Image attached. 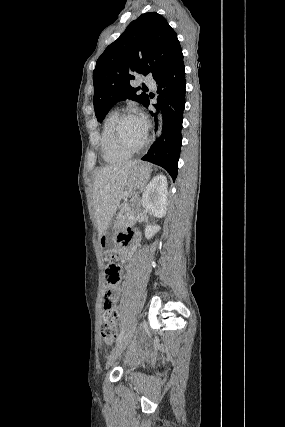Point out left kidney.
<instances>
[{
  "mask_svg": "<svg viewBox=\"0 0 285 427\" xmlns=\"http://www.w3.org/2000/svg\"><path fill=\"white\" fill-rule=\"evenodd\" d=\"M143 208L150 211L155 217L162 218L167 211V178L163 174L155 176L146 186L141 200ZM160 226L148 225L145 228V237L152 238Z\"/></svg>",
  "mask_w": 285,
  "mask_h": 427,
  "instance_id": "obj_1",
  "label": "left kidney"
}]
</instances>
